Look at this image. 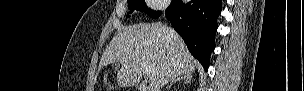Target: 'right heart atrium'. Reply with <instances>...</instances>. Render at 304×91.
<instances>
[{"label": "right heart atrium", "mask_w": 304, "mask_h": 91, "mask_svg": "<svg viewBox=\"0 0 304 91\" xmlns=\"http://www.w3.org/2000/svg\"><path fill=\"white\" fill-rule=\"evenodd\" d=\"M167 2L165 0H150L148 5L154 10H161L166 7Z\"/></svg>", "instance_id": "obj_1"}]
</instances>
